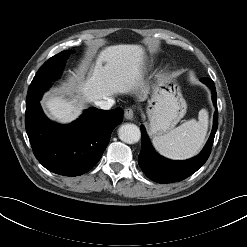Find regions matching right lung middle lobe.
<instances>
[{"label":"right lung middle lobe","instance_id":"dd1d6c3e","mask_svg":"<svg viewBox=\"0 0 247 247\" xmlns=\"http://www.w3.org/2000/svg\"><path fill=\"white\" fill-rule=\"evenodd\" d=\"M70 53L71 51L65 50L48 59L39 68L30 86L37 88L56 80L62 73V69Z\"/></svg>","mask_w":247,"mask_h":247}]
</instances>
